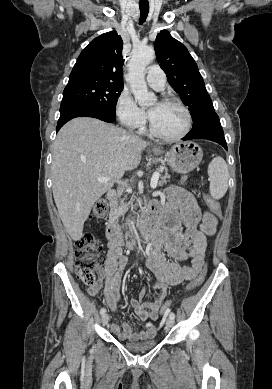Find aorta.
I'll use <instances>...</instances> for the list:
<instances>
[{"instance_id": "aorta-1", "label": "aorta", "mask_w": 272, "mask_h": 389, "mask_svg": "<svg viewBox=\"0 0 272 389\" xmlns=\"http://www.w3.org/2000/svg\"><path fill=\"white\" fill-rule=\"evenodd\" d=\"M155 58L152 47H135L128 64V82L139 105L145 106L156 100L154 93L149 92L145 82V68Z\"/></svg>"}]
</instances>
